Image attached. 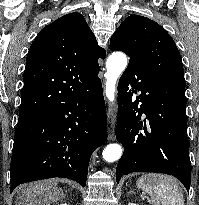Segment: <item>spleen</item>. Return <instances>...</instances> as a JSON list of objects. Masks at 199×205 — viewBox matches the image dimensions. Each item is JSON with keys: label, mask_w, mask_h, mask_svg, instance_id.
<instances>
[{"label": "spleen", "mask_w": 199, "mask_h": 205, "mask_svg": "<svg viewBox=\"0 0 199 205\" xmlns=\"http://www.w3.org/2000/svg\"><path fill=\"white\" fill-rule=\"evenodd\" d=\"M137 186L150 194L154 205H184L182 190L170 176L144 174L138 179Z\"/></svg>", "instance_id": "1"}]
</instances>
